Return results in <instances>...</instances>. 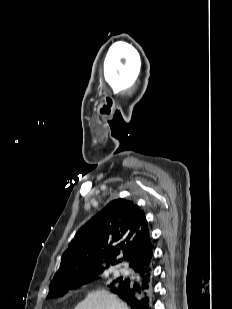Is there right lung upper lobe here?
Returning <instances> with one entry per match:
<instances>
[{
    "label": "right lung upper lobe",
    "mask_w": 232,
    "mask_h": 309,
    "mask_svg": "<svg viewBox=\"0 0 232 309\" xmlns=\"http://www.w3.org/2000/svg\"><path fill=\"white\" fill-rule=\"evenodd\" d=\"M152 250L144 212L132 201L113 200L78 230L61 258L50 287L57 282L103 271L121 261L130 266L152 257ZM117 256L122 258L117 260Z\"/></svg>",
    "instance_id": "right-lung-upper-lobe-1"
}]
</instances>
